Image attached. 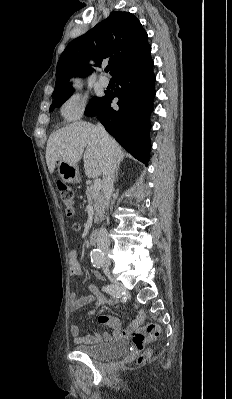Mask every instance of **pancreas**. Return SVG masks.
<instances>
[{
	"label": "pancreas",
	"instance_id": "obj_1",
	"mask_svg": "<svg viewBox=\"0 0 232 399\" xmlns=\"http://www.w3.org/2000/svg\"><path fill=\"white\" fill-rule=\"evenodd\" d=\"M87 200L90 201L95 211V223L104 219L105 200L100 190H94L93 186H86Z\"/></svg>",
	"mask_w": 232,
	"mask_h": 399
}]
</instances>
